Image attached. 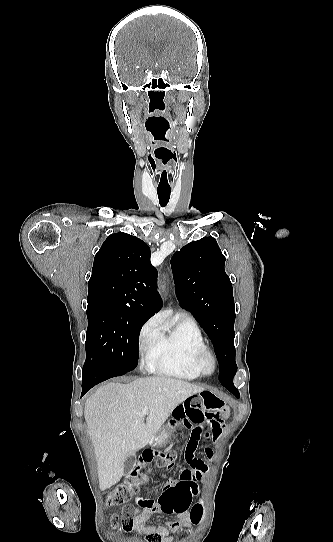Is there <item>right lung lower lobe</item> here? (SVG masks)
<instances>
[{
	"label": "right lung lower lobe",
	"instance_id": "obj_1",
	"mask_svg": "<svg viewBox=\"0 0 333 542\" xmlns=\"http://www.w3.org/2000/svg\"><path fill=\"white\" fill-rule=\"evenodd\" d=\"M120 375L123 374L119 371H116L115 369H112L100 363L84 364L82 379V396L96 384Z\"/></svg>",
	"mask_w": 333,
	"mask_h": 542
}]
</instances>
